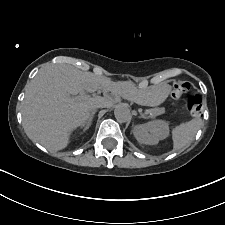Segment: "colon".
Returning a JSON list of instances; mask_svg holds the SVG:
<instances>
[{"label": "colon", "mask_w": 225, "mask_h": 225, "mask_svg": "<svg viewBox=\"0 0 225 225\" xmlns=\"http://www.w3.org/2000/svg\"><path fill=\"white\" fill-rule=\"evenodd\" d=\"M190 89L188 82H176L172 86V96L174 98H180ZM185 108L191 115H199L202 111V98L199 94H192L185 100Z\"/></svg>", "instance_id": "colon-1"}]
</instances>
